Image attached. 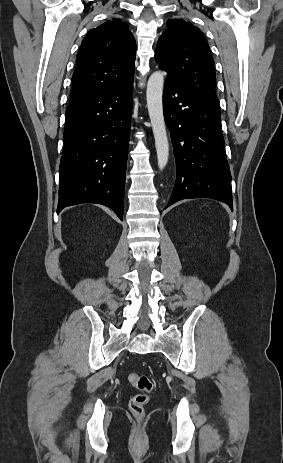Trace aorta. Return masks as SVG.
Wrapping results in <instances>:
<instances>
[{"mask_svg": "<svg viewBox=\"0 0 283 463\" xmlns=\"http://www.w3.org/2000/svg\"><path fill=\"white\" fill-rule=\"evenodd\" d=\"M163 86L164 73L156 71L149 77L146 90L147 108L155 139L158 167L160 170L166 167L169 158V142L162 104Z\"/></svg>", "mask_w": 283, "mask_h": 463, "instance_id": "obj_1", "label": "aorta"}]
</instances>
